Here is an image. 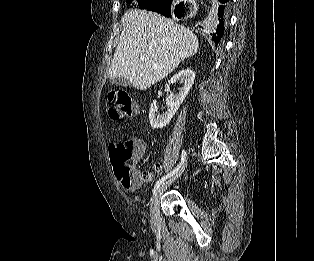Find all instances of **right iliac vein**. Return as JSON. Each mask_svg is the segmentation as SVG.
<instances>
[{
  "mask_svg": "<svg viewBox=\"0 0 314 261\" xmlns=\"http://www.w3.org/2000/svg\"><path fill=\"white\" fill-rule=\"evenodd\" d=\"M186 165L187 163H185L182 166V168L178 171V173L173 178L169 179L167 182L160 185L159 188L156 190L151 200V205H150V214H151V220L153 224L159 223V204H160V198L164 190L182 174Z\"/></svg>",
  "mask_w": 314,
  "mask_h": 261,
  "instance_id": "right-iliac-vein-1",
  "label": "right iliac vein"
}]
</instances>
